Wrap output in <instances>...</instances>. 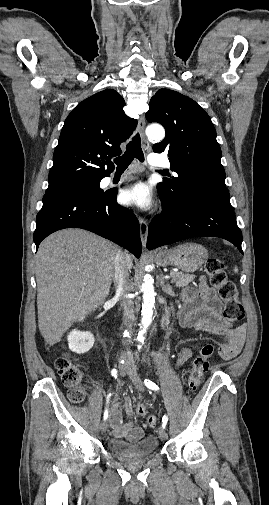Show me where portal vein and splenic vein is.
<instances>
[{"instance_id":"portal-vein-and-splenic-vein-1","label":"portal vein and splenic vein","mask_w":269,"mask_h":505,"mask_svg":"<svg viewBox=\"0 0 269 505\" xmlns=\"http://www.w3.org/2000/svg\"><path fill=\"white\" fill-rule=\"evenodd\" d=\"M165 278H166V279H169L170 277H169V276H166Z\"/></svg>"}]
</instances>
